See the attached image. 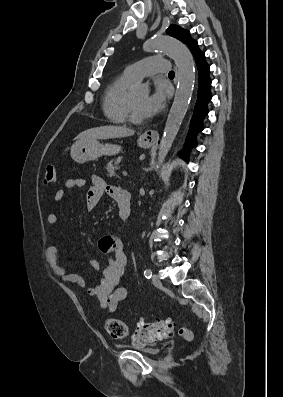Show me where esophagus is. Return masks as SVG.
Listing matches in <instances>:
<instances>
[{
	"label": "esophagus",
	"instance_id": "obj_1",
	"mask_svg": "<svg viewBox=\"0 0 283 397\" xmlns=\"http://www.w3.org/2000/svg\"><path fill=\"white\" fill-rule=\"evenodd\" d=\"M159 138V134L155 130H147L141 135V139L145 142H156Z\"/></svg>",
	"mask_w": 283,
	"mask_h": 397
}]
</instances>
